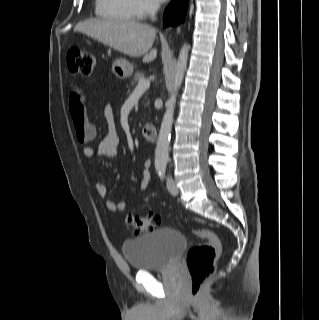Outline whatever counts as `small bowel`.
<instances>
[{
  "label": "small bowel",
  "instance_id": "small-bowel-1",
  "mask_svg": "<svg viewBox=\"0 0 319 320\" xmlns=\"http://www.w3.org/2000/svg\"><path fill=\"white\" fill-rule=\"evenodd\" d=\"M69 109L74 122L84 123L86 127L90 128L93 132V137L96 135L95 127L88 120L85 110V94L80 89H74L69 95ZM104 116L108 125V131L99 142L96 149L91 146H85L83 148V155L86 159H94L96 157L113 158L118 154L120 146V136L115 129L114 111L110 105L104 107ZM150 162L145 161L142 165V179L140 184V190L147 189L150 181L149 168ZM94 188L98 196L105 197L107 194L106 186L96 181ZM127 203L125 201L114 202L112 200L105 201V208L111 212L125 211Z\"/></svg>",
  "mask_w": 319,
  "mask_h": 320
}]
</instances>
